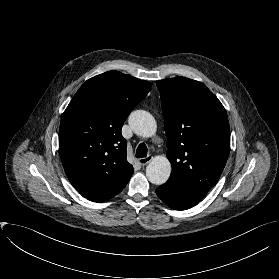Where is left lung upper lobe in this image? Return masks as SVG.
Wrapping results in <instances>:
<instances>
[{
  "mask_svg": "<svg viewBox=\"0 0 279 279\" xmlns=\"http://www.w3.org/2000/svg\"><path fill=\"white\" fill-rule=\"evenodd\" d=\"M170 180L208 192L218 182L230 151L225 108L201 82L185 77L161 80Z\"/></svg>",
  "mask_w": 279,
  "mask_h": 279,
  "instance_id": "obj_1",
  "label": "left lung upper lobe"
}]
</instances>
